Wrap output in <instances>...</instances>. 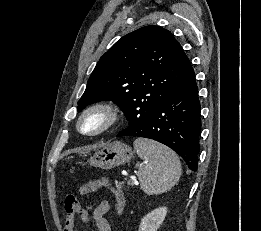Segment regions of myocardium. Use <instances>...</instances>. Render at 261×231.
<instances>
[{
  "label": "myocardium",
  "instance_id": "f54148a6",
  "mask_svg": "<svg viewBox=\"0 0 261 231\" xmlns=\"http://www.w3.org/2000/svg\"><path fill=\"white\" fill-rule=\"evenodd\" d=\"M92 113H100L104 117L103 124L94 131L85 132L81 129L82 121ZM120 107L110 101H99L87 106L78 116L76 130L84 136H97L113 128L121 119Z\"/></svg>",
  "mask_w": 261,
  "mask_h": 231
}]
</instances>
